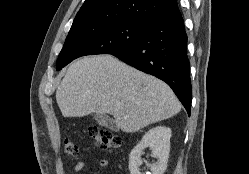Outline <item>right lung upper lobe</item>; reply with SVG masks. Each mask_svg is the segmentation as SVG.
I'll return each instance as SVG.
<instances>
[{
	"label": "right lung upper lobe",
	"mask_w": 249,
	"mask_h": 174,
	"mask_svg": "<svg viewBox=\"0 0 249 174\" xmlns=\"http://www.w3.org/2000/svg\"><path fill=\"white\" fill-rule=\"evenodd\" d=\"M178 12L177 0H85L69 32L121 20L147 22Z\"/></svg>",
	"instance_id": "1"
}]
</instances>
